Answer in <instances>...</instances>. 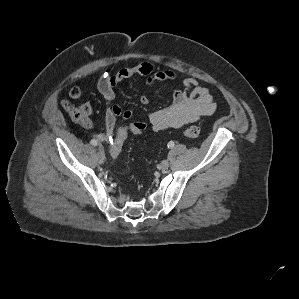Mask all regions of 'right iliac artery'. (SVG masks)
I'll list each match as a JSON object with an SVG mask.
<instances>
[{"label":"right iliac artery","instance_id":"1","mask_svg":"<svg viewBox=\"0 0 299 299\" xmlns=\"http://www.w3.org/2000/svg\"><path fill=\"white\" fill-rule=\"evenodd\" d=\"M90 143H91V145L96 146L98 142H97L96 139H92V140L90 141Z\"/></svg>","mask_w":299,"mask_h":299}]
</instances>
